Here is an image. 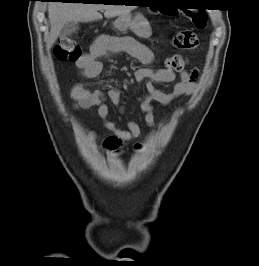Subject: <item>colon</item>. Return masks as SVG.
<instances>
[{
  "instance_id": "5ec220e1",
  "label": "colon",
  "mask_w": 259,
  "mask_h": 266,
  "mask_svg": "<svg viewBox=\"0 0 259 266\" xmlns=\"http://www.w3.org/2000/svg\"><path fill=\"white\" fill-rule=\"evenodd\" d=\"M185 15L191 20L196 29L202 30L206 27L207 16L205 13L186 11ZM173 42L181 50H194L199 46L198 36L190 30L178 32ZM54 54L59 60H69L72 62H77L82 56L81 48L73 37H62L54 49ZM185 64V59L180 55L167 57L164 61L166 69L170 71H181Z\"/></svg>"
}]
</instances>
